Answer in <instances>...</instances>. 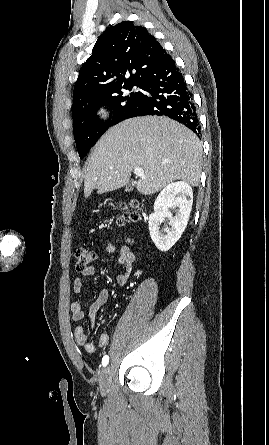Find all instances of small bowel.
Wrapping results in <instances>:
<instances>
[{
  "label": "small bowel",
  "mask_w": 269,
  "mask_h": 445,
  "mask_svg": "<svg viewBox=\"0 0 269 445\" xmlns=\"http://www.w3.org/2000/svg\"><path fill=\"white\" fill-rule=\"evenodd\" d=\"M105 251L109 254H112L115 253L117 249L113 244L108 243L106 245ZM118 255H119L118 263L123 268V272L117 275V283L123 286L129 280V277L135 266L136 257L128 242L122 243L121 247L118 250ZM96 272L97 268L95 266H89L82 271V275L84 277H89L96 274ZM82 288H83L82 279L80 277H76L73 281V291L76 294H79L81 293ZM109 298H110L109 291L105 289L101 290L96 300L90 305L88 315L91 325L94 324L97 312L103 305L107 303ZM71 312H72V318L75 322L82 321L85 317V311L80 301H73L71 303ZM74 337L76 343L82 346L87 353H94L97 350V348L107 345L109 341V335L106 332L100 335L97 343L89 341L85 333L84 327L82 325H77L75 327Z\"/></svg>",
  "instance_id": "1"
}]
</instances>
